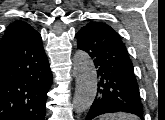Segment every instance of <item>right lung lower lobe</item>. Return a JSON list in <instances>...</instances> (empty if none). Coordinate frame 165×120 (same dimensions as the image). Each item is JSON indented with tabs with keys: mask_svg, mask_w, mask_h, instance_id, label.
<instances>
[{
	"mask_svg": "<svg viewBox=\"0 0 165 120\" xmlns=\"http://www.w3.org/2000/svg\"><path fill=\"white\" fill-rule=\"evenodd\" d=\"M51 84L38 32L0 47V120H44Z\"/></svg>",
	"mask_w": 165,
	"mask_h": 120,
	"instance_id": "98d812e1",
	"label": "right lung lower lobe"
}]
</instances>
